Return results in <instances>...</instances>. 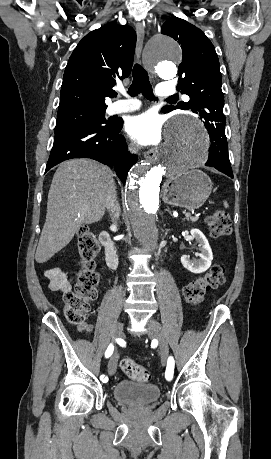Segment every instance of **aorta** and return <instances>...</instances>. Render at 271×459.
Segmentation results:
<instances>
[{
	"mask_svg": "<svg viewBox=\"0 0 271 459\" xmlns=\"http://www.w3.org/2000/svg\"><path fill=\"white\" fill-rule=\"evenodd\" d=\"M148 65L161 77L170 79L176 74L175 61L181 58L176 41L166 36L152 39L146 48ZM208 158V139L201 124L193 117L174 118L166 131L159 163L142 161L130 171L126 184V208L134 236L149 251L157 249L158 229L156 213L159 191L165 174H187L205 164Z\"/></svg>",
	"mask_w": 271,
	"mask_h": 459,
	"instance_id": "aorta-1",
	"label": "aorta"
}]
</instances>
